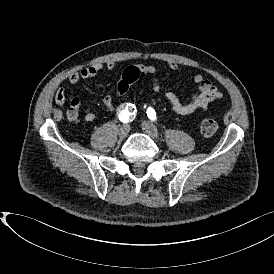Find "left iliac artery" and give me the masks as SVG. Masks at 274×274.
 Returning <instances> with one entry per match:
<instances>
[{
    "mask_svg": "<svg viewBox=\"0 0 274 274\" xmlns=\"http://www.w3.org/2000/svg\"><path fill=\"white\" fill-rule=\"evenodd\" d=\"M147 116L150 120L155 121L156 120V112L153 108L149 107L147 109Z\"/></svg>",
    "mask_w": 274,
    "mask_h": 274,
    "instance_id": "1",
    "label": "left iliac artery"
}]
</instances>
